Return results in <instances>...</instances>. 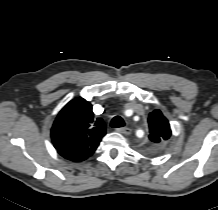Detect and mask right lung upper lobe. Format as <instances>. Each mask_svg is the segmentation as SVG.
Returning a JSON list of instances; mask_svg holds the SVG:
<instances>
[{
    "label": "right lung upper lobe",
    "mask_w": 218,
    "mask_h": 210,
    "mask_svg": "<svg viewBox=\"0 0 218 210\" xmlns=\"http://www.w3.org/2000/svg\"><path fill=\"white\" fill-rule=\"evenodd\" d=\"M105 133V124L101 118H94L91 103L78 97L59 112L51 139L58 151L85 159L95 152Z\"/></svg>",
    "instance_id": "obj_1"
}]
</instances>
